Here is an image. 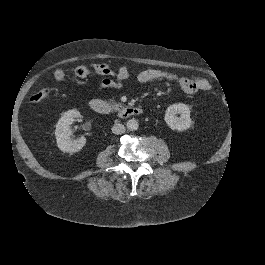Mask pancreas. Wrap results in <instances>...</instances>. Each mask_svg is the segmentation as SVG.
Masks as SVG:
<instances>
[{
	"mask_svg": "<svg viewBox=\"0 0 265 265\" xmlns=\"http://www.w3.org/2000/svg\"><path fill=\"white\" fill-rule=\"evenodd\" d=\"M108 102L112 106V108L116 110L124 107V104L115 102L113 99H108Z\"/></svg>",
	"mask_w": 265,
	"mask_h": 265,
	"instance_id": "cf45deb5",
	"label": "pancreas"
}]
</instances>
